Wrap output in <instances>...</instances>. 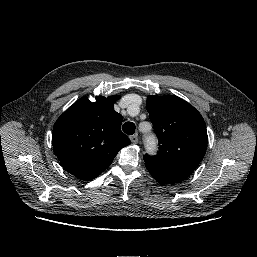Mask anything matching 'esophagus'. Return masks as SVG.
<instances>
[{
    "mask_svg": "<svg viewBox=\"0 0 257 257\" xmlns=\"http://www.w3.org/2000/svg\"><path fill=\"white\" fill-rule=\"evenodd\" d=\"M130 140L133 144H137L138 143V135L137 134L131 135Z\"/></svg>",
    "mask_w": 257,
    "mask_h": 257,
    "instance_id": "34e87169",
    "label": "esophagus"
}]
</instances>
